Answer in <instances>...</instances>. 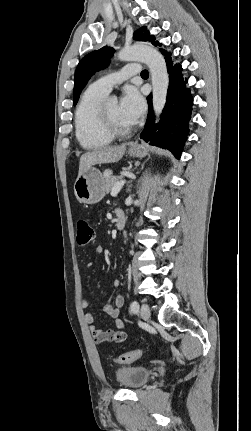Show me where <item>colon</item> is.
<instances>
[{
  "label": "colon",
  "mask_w": 251,
  "mask_h": 431,
  "mask_svg": "<svg viewBox=\"0 0 251 431\" xmlns=\"http://www.w3.org/2000/svg\"><path fill=\"white\" fill-rule=\"evenodd\" d=\"M76 232V242L79 247H86L94 241L95 231L88 219L81 218L77 221ZM143 353L144 351L142 349H135L128 353L117 356L115 358V362L120 364L131 363L141 358Z\"/></svg>",
  "instance_id": "colon-1"
}]
</instances>
